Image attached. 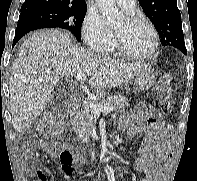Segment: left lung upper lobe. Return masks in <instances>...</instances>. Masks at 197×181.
I'll return each instance as SVG.
<instances>
[{
  "label": "left lung upper lobe",
  "instance_id": "left-lung-upper-lobe-1",
  "mask_svg": "<svg viewBox=\"0 0 197 181\" xmlns=\"http://www.w3.org/2000/svg\"><path fill=\"white\" fill-rule=\"evenodd\" d=\"M139 4L158 31L162 45L186 49L177 0H139Z\"/></svg>",
  "mask_w": 197,
  "mask_h": 181
}]
</instances>
